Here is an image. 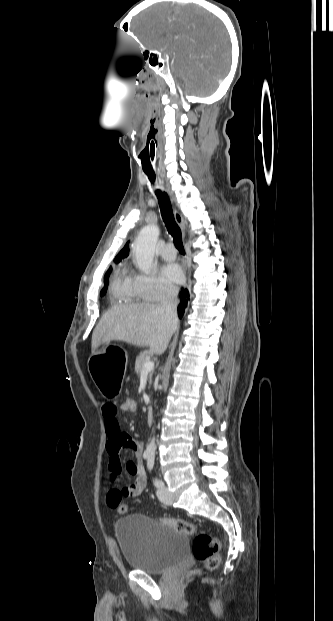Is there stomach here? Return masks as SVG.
Here are the masks:
<instances>
[{"mask_svg": "<svg viewBox=\"0 0 333 621\" xmlns=\"http://www.w3.org/2000/svg\"><path fill=\"white\" fill-rule=\"evenodd\" d=\"M89 365L92 369L91 379L98 393L116 402L123 390L124 371L128 365L124 344L114 340L104 344L101 350H92Z\"/></svg>", "mask_w": 333, "mask_h": 621, "instance_id": "0dacf381", "label": "stomach"}]
</instances>
